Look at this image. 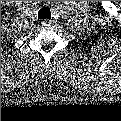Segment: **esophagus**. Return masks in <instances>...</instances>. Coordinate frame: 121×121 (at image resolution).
Here are the masks:
<instances>
[{
    "instance_id": "obj_1",
    "label": "esophagus",
    "mask_w": 121,
    "mask_h": 121,
    "mask_svg": "<svg viewBox=\"0 0 121 121\" xmlns=\"http://www.w3.org/2000/svg\"><path fill=\"white\" fill-rule=\"evenodd\" d=\"M41 24H42V26H44V27H50V26H51V22H50L48 19H43V20L41 21Z\"/></svg>"
}]
</instances>
